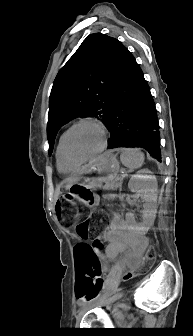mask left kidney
<instances>
[{
	"label": "left kidney",
	"instance_id": "left-kidney-1",
	"mask_svg": "<svg viewBox=\"0 0 193 336\" xmlns=\"http://www.w3.org/2000/svg\"><path fill=\"white\" fill-rule=\"evenodd\" d=\"M148 173H150L149 170H141L134 174L128 183L130 191L140 193L145 204L141 224H136L132 213L126 214V220L136 229L144 231L148 230L154 221L158 193L156 177Z\"/></svg>",
	"mask_w": 193,
	"mask_h": 336
}]
</instances>
